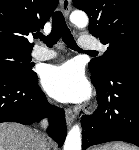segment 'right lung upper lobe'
Masks as SVG:
<instances>
[{"label": "right lung upper lobe", "mask_w": 139, "mask_h": 150, "mask_svg": "<svg viewBox=\"0 0 139 150\" xmlns=\"http://www.w3.org/2000/svg\"><path fill=\"white\" fill-rule=\"evenodd\" d=\"M58 0H0V46L31 52L28 35L39 31Z\"/></svg>", "instance_id": "obj_1"}]
</instances>
